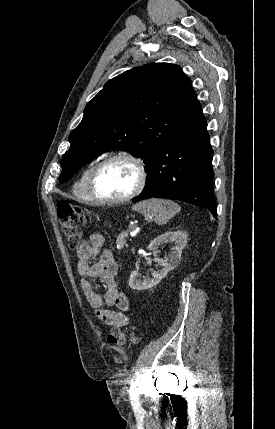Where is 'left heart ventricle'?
<instances>
[{
    "mask_svg": "<svg viewBox=\"0 0 275 429\" xmlns=\"http://www.w3.org/2000/svg\"><path fill=\"white\" fill-rule=\"evenodd\" d=\"M137 172L125 160H117L106 165L98 174L95 190L99 197L113 199L127 195L135 186Z\"/></svg>",
    "mask_w": 275,
    "mask_h": 429,
    "instance_id": "left-heart-ventricle-1",
    "label": "left heart ventricle"
}]
</instances>
